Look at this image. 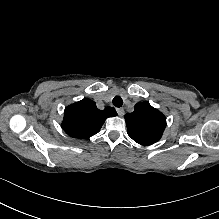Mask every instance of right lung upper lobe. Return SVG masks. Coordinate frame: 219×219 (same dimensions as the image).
Returning <instances> with one entry per match:
<instances>
[{
	"label": "right lung upper lobe",
	"instance_id": "right-lung-upper-lobe-1",
	"mask_svg": "<svg viewBox=\"0 0 219 219\" xmlns=\"http://www.w3.org/2000/svg\"><path fill=\"white\" fill-rule=\"evenodd\" d=\"M116 115L114 108L99 110L95 102L84 98L65 108L62 128L68 135L82 139L98 133L105 120Z\"/></svg>",
	"mask_w": 219,
	"mask_h": 219
}]
</instances>
